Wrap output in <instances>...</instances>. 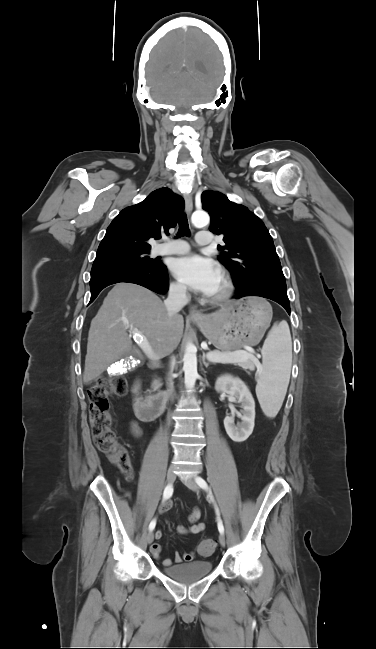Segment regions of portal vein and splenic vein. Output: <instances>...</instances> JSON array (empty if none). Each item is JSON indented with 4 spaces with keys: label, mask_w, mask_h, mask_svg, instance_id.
Returning <instances> with one entry per match:
<instances>
[{
    "label": "portal vein and splenic vein",
    "mask_w": 376,
    "mask_h": 649,
    "mask_svg": "<svg viewBox=\"0 0 376 649\" xmlns=\"http://www.w3.org/2000/svg\"><path fill=\"white\" fill-rule=\"evenodd\" d=\"M132 334H133V339L137 344L141 346L143 351L150 357L154 358L152 355V350L151 347L149 346V343L146 339L145 336L139 334L138 332L134 331L132 328H130ZM206 357L209 361L214 362V363H232V362H239V361H245L248 359H253L257 361L256 357L253 354L247 353L245 351L242 352H229V353H207ZM156 359V358H154Z\"/></svg>",
    "instance_id": "1"
}]
</instances>
